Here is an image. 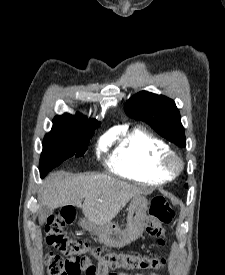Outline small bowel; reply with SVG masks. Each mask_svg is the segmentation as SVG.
<instances>
[{
  "label": "small bowel",
  "instance_id": "c3829d8e",
  "mask_svg": "<svg viewBox=\"0 0 225 275\" xmlns=\"http://www.w3.org/2000/svg\"><path fill=\"white\" fill-rule=\"evenodd\" d=\"M94 268H95L94 272L91 273L90 275H112L110 268L106 267L101 262L94 265ZM115 275H143V274H141V273L132 274V273H126V272H119ZM149 275H160V274L152 272Z\"/></svg>",
  "mask_w": 225,
  "mask_h": 275
}]
</instances>
